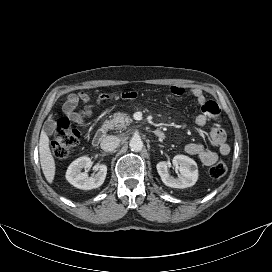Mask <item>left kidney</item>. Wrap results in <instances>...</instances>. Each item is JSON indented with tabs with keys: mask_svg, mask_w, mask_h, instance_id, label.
Here are the masks:
<instances>
[{
	"mask_svg": "<svg viewBox=\"0 0 272 272\" xmlns=\"http://www.w3.org/2000/svg\"><path fill=\"white\" fill-rule=\"evenodd\" d=\"M173 165L179 170L178 178L172 177L168 171V164L161 161L156 165L157 172L162 182L171 188H187L193 186L198 179V169L196 162L188 156L176 155L172 160Z\"/></svg>",
	"mask_w": 272,
	"mask_h": 272,
	"instance_id": "obj_1",
	"label": "left kidney"
}]
</instances>
